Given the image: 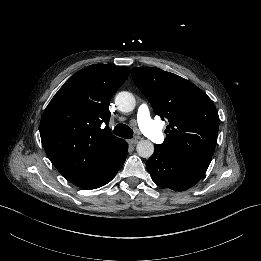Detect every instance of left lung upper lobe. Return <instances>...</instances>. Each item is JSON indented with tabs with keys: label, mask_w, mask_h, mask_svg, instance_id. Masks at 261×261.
I'll return each instance as SVG.
<instances>
[{
	"label": "left lung upper lobe",
	"mask_w": 261,
	"mask_h": 261,
	"mask_svg": "<svg viewBox=\"0 0 261 261\" xmlns=\"http://www.w3.org/2000/svg\"><path fill=\"white\" fill-rule=\"evenodd\" d=\"M132 79L156 115L169 126L165 152L193 155L211 161L217 141L219 117L212 100L188 80L159 68H133Z\"/></svg>",
	"instance_id": "5c2ea615"
}]
</instances>
